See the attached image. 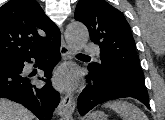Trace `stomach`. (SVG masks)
Instances as JSON below:
<instances>
[{
    "label": "stomach",
    "mask_w": 165,
    "mask_h": 120,
    "mask_svg": "<svg viewBox=\"0 0 165 120\" xmlns=\"http://www.w3.org/2000/svg\"><path fill=\"white\" fill-rule=\"evenodd\" d=\"M87 120H107V116L102 111H95L87 117Z\"/></svg>",
    "instance_id": "obj_1"
}]
</instances>
